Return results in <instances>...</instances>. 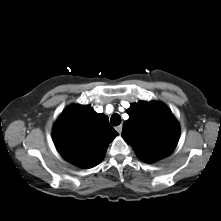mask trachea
I'll use <instances>...</instances> for the list:
<instances>
[{"instance_id": "1", "label": "trachea", "mask_w": 221, "mask_h": 221, "mask_svg": "<svg viewBox=\"0 0 221 221\" xmlns=\"http://www.w3.org/2000/svg\"><path fill=\"white\" fill-rule=\"evenodd\" d=\"M110 122L113 126H118L121 123V116L118 113H114L111 116Z\"/></svg>"}]
</instances>
